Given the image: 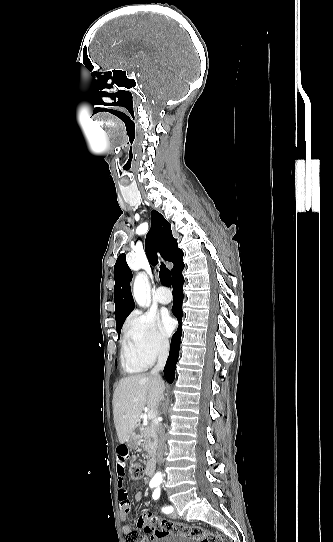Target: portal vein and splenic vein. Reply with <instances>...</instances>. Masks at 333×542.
I'll use <instances>...</instances> for the list:
<instances>
[{
	"label": "portal vein and splenic vein",
	"mask_w": 333,
	"mask_h": 542,
	"mask_svg": "<svg viewBox=\"0 0 333 542\" xmlns=\"http://www.w3.org/2000/svg\"><path fill=\"white\" fill-rule=\"evenodd\" d=\"M147 418L148 420H153V418H156V410H148Z\"/></svg>",
	"instance_id": "18ae733b"
}]
</instances>
